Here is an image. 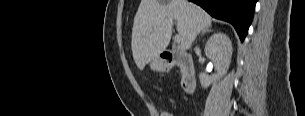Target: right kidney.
Segmentation results:
<instances>
[{"mask_svg": "<svg viewBox=\"0 0 305 116\" xmlns=\"http://www.w3.org/2000/svg\"><path fill=\"white\" fill-rule=\"evenodd\" d=\"M232 43L229 37L224 33H216L212 35L206 43L205 55L212 60L217 74L208 76L205 73L199 74L201 86L207 88L212 82L224 76L231 62Z\"/></svg>", "mask_w": 305, "mask_h": 116, "instance_id": "ca27d5eb", "label": "right kidney"}]
</instances>
